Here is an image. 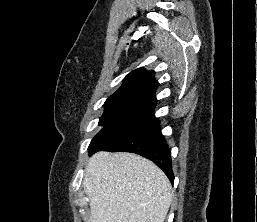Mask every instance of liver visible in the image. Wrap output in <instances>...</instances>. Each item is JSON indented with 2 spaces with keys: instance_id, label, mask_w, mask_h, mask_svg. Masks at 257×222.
<instances>
[{
  "instance_id": "liver-1",
  "label": "liver",
  "mask_w": 257,
  "mask_h": 222,
  "mask_svg": "<svg viewBox=\"0 0 257 222\" xmlns=\"http://www.w3.org/2000/svg\"><path fill=\"white\" fill-rule=\"evenodd\" d=\"M89 222H164L171 184L152 161L133 153H95L85 168Z\"/></svg>"
}]
</instances>
